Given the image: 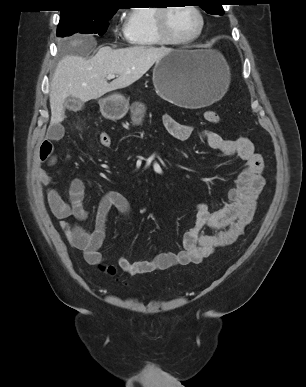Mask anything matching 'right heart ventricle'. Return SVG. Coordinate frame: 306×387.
Returning <instances> with one entry per match:
<instances>
[{"mask_svg": "<svg viewBox=\"0 0 306 387\" xmlns=\"http://www.w3.org/2000/svg\"><path fill=\"white\" fill-rule=\"evenodd\" d=\"M155 12V7H137L129 11L124 23V35L129 44L143 48L163 44L156 34Z\"/></svg>", "mask_w": 306, "mask_h": 387, "instance_id": "1", "label": "right heart ventricle"}]
</instances>
